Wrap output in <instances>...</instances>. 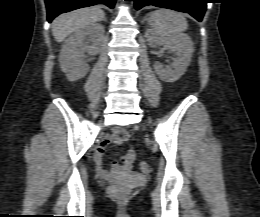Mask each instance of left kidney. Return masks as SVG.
Returning <instances> with one entry per match:
<instances>
[{
  "mask_svg": "<svg viewBox=\"0 0 260 217\" xmlns=\"http://www.w3.org/2000/svg\"><path fill=\"white\" fill-rule=\"evenodd\" d=\"M147 41L152 47L157 44L164 45L166 49L175 54L171 66L164 67L161 63L156 62L154 69L162 81L169 83L177 81L185 73L192 57L193 49L188 37L151 31L147 33Z\"/></svg>",
  "mask_w": 260,
  "mask_h": 217,
  "instance_id": "5707ae66",
  "label": "left kidney"
}]
</instances>
